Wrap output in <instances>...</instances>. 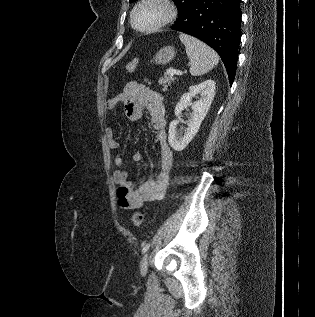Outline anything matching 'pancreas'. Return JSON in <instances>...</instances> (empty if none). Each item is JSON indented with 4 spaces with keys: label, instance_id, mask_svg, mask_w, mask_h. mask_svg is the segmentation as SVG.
<instances>
[{
    "label": "pancreas",
    "instance_id": "1",
    "mask_svg": "<svg viewBox=\"0 0 315 317\" xmlns=\"http://www.w3.org/2000/svg\"><path fill=\"white\" fill-rule=\"evenodd\" d=\"M175 80V78L173 76L170 75V72L167 71L164 74V77H162L159 80V83L163 85V90L166 91L168 86L171 85V83Z\"/></svg>",
    "mask_w": 315,
    "mask_h": 317
}]
</instances>
